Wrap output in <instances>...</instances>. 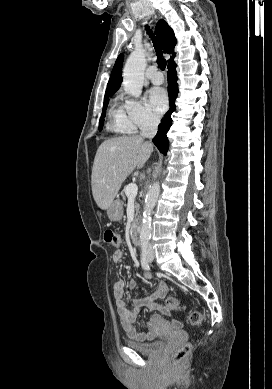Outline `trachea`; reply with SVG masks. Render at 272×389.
Here are the masks:
<instances>
[{
    "label": "trachea",
    "instance_id": "1",
    "mask_svg": "<svg viewBox=\"0 0 272 389\" xmlns=\"http://www.w3.org/2000/svg\"><path fill=\"white\" fill-rule=\"evenodd\" d=\"M146 31H147V34L149 35V37L152 39L153 41V44H154V48H155V51H156V54H157V64L158 66L164 70L165 67H166V60L162 57V49L161 47L157 44V41H156V38L152 32V30L150 29L149 26H146Z\"/></svg>",
    "mask_w": 272,
    "mask_h": 389
}]
</instances>
